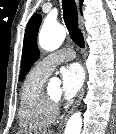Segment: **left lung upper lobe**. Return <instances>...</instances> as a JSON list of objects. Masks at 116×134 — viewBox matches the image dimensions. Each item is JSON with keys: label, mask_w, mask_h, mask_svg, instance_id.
Listing matches in <instances>:
<instances>
[{"label": "left lung upper lobe", "mask_w": 116, "mask_h": 134, "mask_svg": "<svg viewBox=\"0 0 116 134\" xmlns=\"http://www.w3.org/2000/svg\"><path fill=\"white\" fill-rule=\"evenodd\" d=\"M40 23L41 16L38 14L33 15L28 22L24 36L20 79H22L28 73L33 63L39 57L36 39Z\"/></svg>", "instance_id": "5c2ea615"}]
</instances>
